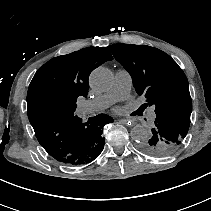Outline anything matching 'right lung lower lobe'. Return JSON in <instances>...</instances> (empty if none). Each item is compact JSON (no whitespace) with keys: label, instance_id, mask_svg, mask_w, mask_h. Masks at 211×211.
Instances as JSON below:
<instances>
[{"label":"right lung lower lobe","instance_id":"obj_1","mask_svg":"<svg viewBox=\"0 0 211 211\" xmlns=\"http://www.w3.org/2000/svg\"><path fill=\"white\" fill-rule=\"evenodd\" d=\"M111 122L113 118L106 114L83 122L70 113L32 126L40 145L53 159L76 166L90 163L99 156L105 141L102 128Z\"/></svg>","mask_w":211,"mask_h":211}]
</instances>
